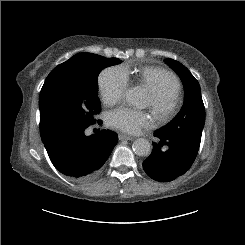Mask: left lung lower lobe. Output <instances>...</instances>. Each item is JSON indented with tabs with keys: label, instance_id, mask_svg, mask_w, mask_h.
<instances>
[{
	"label": "left lung lower lobe",
	"instance_id": "left-lung-lower-lobe-1",
	"mask_svg": "<svg viewBox=\"0 0 245 245\" xmlns=\"http://www.w3.org/2000/svg\"><path fill=\"white\" fill-rule=\"evenodd\" d=\"M154 136L159 142L153 143L151 155L143 161L145 173L159 182H169L185 174L193 164L199 146L181 138L162 135Z\"/></svg>",
	"mask_w": 245,
	"mask_h": 245
}]
</instances>
